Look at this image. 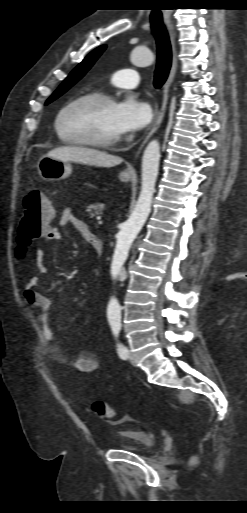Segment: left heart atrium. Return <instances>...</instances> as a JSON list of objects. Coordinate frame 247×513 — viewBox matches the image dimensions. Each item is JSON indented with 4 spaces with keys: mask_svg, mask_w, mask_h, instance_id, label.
<instances>
[{
    "mask_svg": "<svg viewBox=\"0 0 247 513\" xmlns=\"http://www.w3.org/2000/svg\"><path fill=\"white\" fill-rule=\"evenodd\" d=\"M150 120L149 104L133 95L126 96L115 105V123L121 135L141 130Z\"/></svg>",
    "mask_w": 247,
    "mask_h": 513,
    "instance_id": "1",
    "label": "left heart atrium"
}]
</instances>
